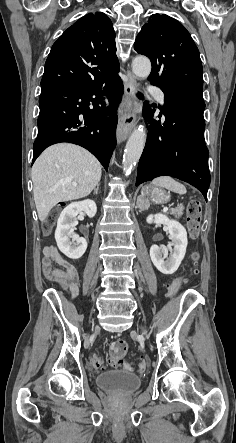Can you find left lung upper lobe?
<instances>
[{
    "label": "left lung upper lobe",
    "instance_id": "left-lung-upper-lobe-1",
    "mask_svg": "<svg viewBox=\"0 0 236 443\" xmlns=\"http://www.w3.org/2000/svg\"><path fill=\"white\" fill-rule=\"evenodd\" d=\"M134 49L152 63L148 77L164 88L203 87L200 54L186 28L168 15L153 14L136 38Z\"/></svg>",
    "mask_w": 236,
    "mask_h": 443
}]
</instances>
